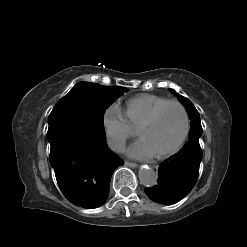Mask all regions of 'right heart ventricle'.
<instances>
[{
	"instance_id": "obj_1",
	"label": "right heart ventricle",
	"mask_w": 247,
	"mask_h": 247,
	"mask_svg": "<svg viewBox=\"0 0 247 247\" xmlns=\"http://www.w3.org/2000/svg\"><path fill=\"white\" fill-rule=\"evenodd\" d=\"M167 98L154 94H141L126 102L125 117L129 125L136 129L153 112V110Z\"/></svg>"
}]
</instances>
